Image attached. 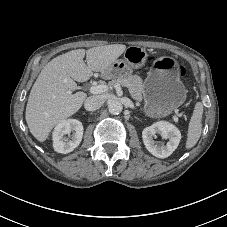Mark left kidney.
Instances as JSON below:
<instances>
[{
    "label": "left kidney",
    "instance_id": "5707ae66",
    "mask_svg": "<svg viewBox=\"0 0 227 227\" xmlns=\"http://www.w3.org/2000/svg\"><path fill=\"white\" fill-rule=\"evenodd\" d=\"M160 134L162 138L169 139L166 146L158 145L154 138ZM142 138L146 149L155 157L166 158L178 147L181 140L179 129L169 122L160 121L146 127L142 131Z\"/></svg>",
    "mask_w": 227,
    "mask_h": 227
}]
</instances>
